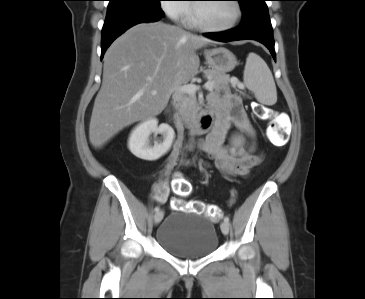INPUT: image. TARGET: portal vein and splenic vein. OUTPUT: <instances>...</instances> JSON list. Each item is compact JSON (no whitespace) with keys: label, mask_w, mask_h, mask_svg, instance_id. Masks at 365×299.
<instances>
[{"label":"portal vein and splenic vein","mask_w":365,"mask_h":299,"mask_svg":"<svg viewBox=\"0 0 365 299\" xmlns=\"http://www.w3.org/2000/svg\"><path fill=\"white\" fill-rule=\"evenodd\" d=\"M214 87L213 82L208 81L204 84V88L207 90H212ZM199 90V87L195 84H186L180 87L179 91L189 94V95H194L197 91ZM157 92L156 91H152V95H156Z\"/></svg>","instance_id":"1"}]
</instances>
